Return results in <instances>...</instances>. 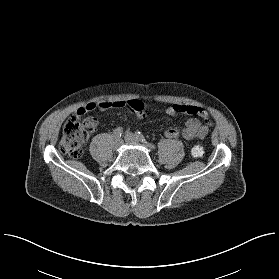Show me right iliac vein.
<instances>
[{
  "mask_svg": "<svg viewBox=\"0 0 279 279\" xmlns=\"http://www.w3.org/2000/svg\"><path fill=\"white\" fill-rule=\"evenodd\" d=\"M121 146H122V140H121V139H117V140L114 142V149H115V150H118Z\"/></svg>",
  "mask_w": 279,
  "mask_h": 279,
  "instance_id": "63e3f726",
  "label": "right iliac vein"
}]
</instances>
